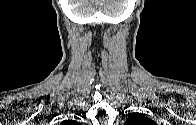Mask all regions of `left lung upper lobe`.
I'll return each instance as SVG.
<instances>
[{
    "mask_svg": "<svg viewBox=\"0 0 196 125\" xmlns=\"http://www.w3.org/2000/svg\"><path fill=\"white\" fill-rule=\"evenodd\" d=\"M155 124L156 123L153 120L143 115H140L138 113H133L132 115H130L125 123V125H155Z\"/></svg>",
    "mask_w": 196,
    "mask_h": 125,
    "instance_id": "1",
    "label": "left lung upper lobe"
}]
</instances>
